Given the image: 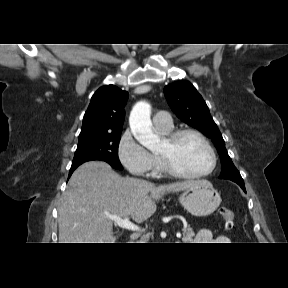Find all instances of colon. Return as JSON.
I'll use <instances>...</instances> for the list:
<instances>
[{"mask_svg": "<svg viewBox=\"0 0 288 288\" xmlns=\"http://www.w3.org/2000/svg\"><path fill=\"white\" fill-rule=\"evenodd\" d=\"M219 213L224 221V226L227 230H232L235 224V215L232 210L221 208Z\"/></svg>", "mask_w": 288, "mask_h": 288, "instance_id": "obj_1", "label": "colon"}]
</instances>
